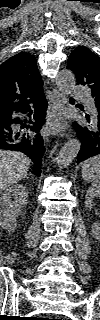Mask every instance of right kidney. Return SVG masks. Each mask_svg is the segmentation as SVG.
Instances as JSON below:
<instances>
[{"instance_id": "obj_1", "label": "right kidney", "mask_w": 100, "mask_h": 320, "mask_svg": "<svg viewBox=\"0 0 100 320\" xmlns=\"http://www.w3.org/2000/svg\"><path fill=\"white\" fill-rule=\"evenodd\" d=\"M28 192L22 184H16L0 195V225L9 233L17 227V218L27 205Z\"/></svg>"}]
</instances>
